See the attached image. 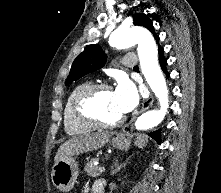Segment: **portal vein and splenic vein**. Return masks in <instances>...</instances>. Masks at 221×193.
<instances>
[{"label": "portal vein and splenic vein", "instance_id": "portal-vein-and-splenic-vein-1", "mask_svg": "<svg viewBox=\"0 0 221 193\" xmlns=\"http://www.w3.org/2000/svg\"><path fill=\"white\" fill-rule=\"evenodd\" d=\"M98 172H100V173L105 172V167H99Z\"/></svg>", "mask_w": 221, "mask_h": 193}]
</instances>
